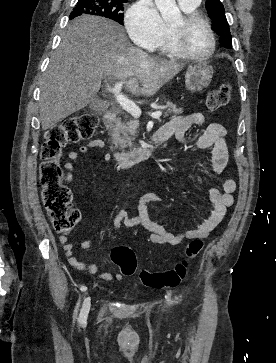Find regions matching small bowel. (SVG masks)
Segmentation results:
<instances>
[{
    "instance_id": "c3829d8e",
    "label": "small bowel",
    "mask_w": 276,
    "mask_h": 363,
    "mask_svg": "<svg viewBox=\"0 0 276 363\" xmlns=\"http://www.w3.org/2000/svg\"><path fill=\"white\" fill-rule=\"evenodd\" d=\"M206 122V115L202 112H196L187 116H176L172 118L158 132L164 133L167 139L175 136L181 143H186V132L194 125H202ZM227 131L220 123H210L206 130L199 137L190 141V144L200 150L211 149L209 170L213 175L221 174L229 159L228 146L226 140ZM101 140H92L86 145L80 146L77 150L68 153L69 162L64 164V168L68 171L65 178L67 182L74 179L73 172L76 169L73 161L77 160L81 154L89 152L92 148H102ZM193 184L201 183V177L195 176L191 179ZM236 190V182L234 179L226 178L222 181L221 190L211 189L209 198L211 202L210 213L196 227L184 230L178 233H172L165 229L159 223L153 221L148 214L147 205L149 203H159L162 197L156 193H146L140 197L138 201V215L128 217L125 211H120L113 221L112 228L117 230L121 225L132 227L142 225L151 232L150 240L157 244L177 245L187 239L205 238L210 235L214 229L222 223L225 218L226 209L233 204L232 194ZM60 243L63 245L65 256L69 264L77 270L97 275L103 281H121L124 275L121 272H104L99 273V268L95 264H88L77 259L73 252V245L67 241L65 236L59 237ZM93 241L85 240L80 244V248L88 251L92 248Z\"/></svg>"
}]
</instances>
